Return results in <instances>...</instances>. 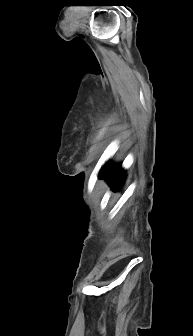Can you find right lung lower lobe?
<instances>
[{"instance_id":"1","label":"right lung lower lobe","mask_w":193,"mask_h":336,"mask_svg":"<svg viewBox=\"0 0 193 336\" xmlns=\"http://www.w3.org/2000/svg\"><path fill=\"white\" fill-rule=\"evenodd\" d=\"M101 173L109 177L113 191H116L121 186L125 178V171H123L120 166L113 168L109 163L103 167Z\"/></svg>"}]
</instances>
